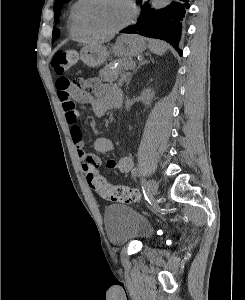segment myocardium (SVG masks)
Wrapping results in <instances>:
<instances>
[{
	"label": "myocardium",
	"mask_w": 245,
	"mask_h": 300,
	"mask_svg": "<svg viewBox=\"0 0 245 300\" xmlns=\"http://www.w3.org/2000/svg\"><path fill=\"white\" fill-rule=\"evenodd\" d=\"M93 0H84L83 4L81 5L79 12H78V21L80 26L83 28V30L90 34V35H95V36H109V35H113L116 34L120 31H122L123 29L127 28L128 26H130L134 20L137 17V7L136 4L134 3L133 0H126L127 4L129 5L130 9H131V14L130 17L128 18V20L123 23L122 25L110 29V30H95L92 29L88 26L86 19H85V12L87 7L89 6V4L92 2Z\"/></svg>",
	"instance_id": "obj_1"
}]
</instances>
